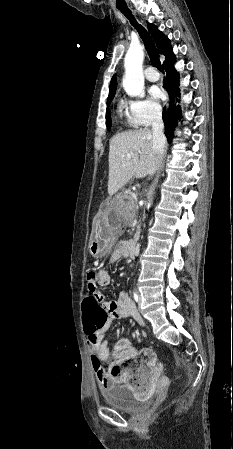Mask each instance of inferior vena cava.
Segmentation results:
<instances>
[{"label": "inferior vena cava", "mask_w": 233, "mask_h": 449, "mask_svg": "<svg viewBox=\"0 0 233 449\" xmlns=\"http://www.w3.org/2000/svg\"><path fill=\"white\" fill-rule=\"evenodd\" d=\"M164 124L161 111H157L152 121L153 150L156 155H162L165 147Z\"/></svg>", "instance_id": "obj_1"}]
</instances>
